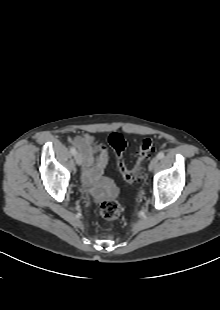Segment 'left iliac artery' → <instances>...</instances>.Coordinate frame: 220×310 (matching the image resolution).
Masks as SVG:
<instances>
[{
  "mask_svg": "<svg viewBox=\"0 0 220 310\" xmlns=\"http://www.w3.org/2000/svg\"><path fill=\"white\" fill-rule=\"evenodd\" d=\"M164 152L163 151H161V152H159L158 154H157V157H158V159H162V158H164Z\"/></svg>",
  "mask_w": 220,
  "mask_h": 310,
  "instance_id": "1",
  "label": "left iliac artery"
}]
</instances>
